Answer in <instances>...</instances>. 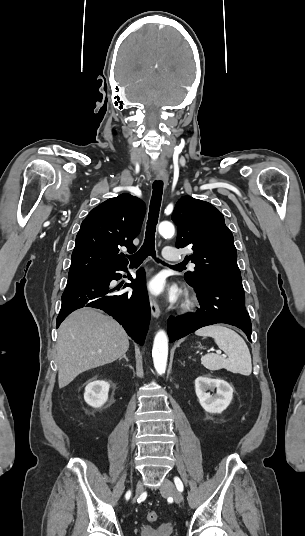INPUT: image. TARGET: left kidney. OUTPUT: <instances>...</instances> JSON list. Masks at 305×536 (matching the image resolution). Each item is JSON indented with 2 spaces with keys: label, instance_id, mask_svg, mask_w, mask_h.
Listing matches in <instances>:
<instances>
[{
  "label": "left kidney",
  "instance_id": "obj_1",
  "mask_svg": "<svg viewBox=\"0 0 305 536\" xmlns=\"http://www.w3.org/2000/svg\"><path fill=\"white\" fill-rule=\"evenodd\" d=\"M215 388L216 394L211 396L207 390H212L213 392ZM195 392L199 404H201L206 412H210V414H221L223 410L228 408L233 396V388H231L228 382L220 380V378L213 380L209 376H199V378H196Z\"/></svg>",
  "mask_w": 305,
  "mask_h": 536
}]
</instances>
